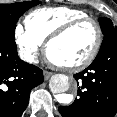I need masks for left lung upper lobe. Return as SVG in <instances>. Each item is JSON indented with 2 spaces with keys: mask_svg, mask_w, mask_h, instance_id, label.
I'll return each mask as SVG.
<instances>
[{
  "mask_svg": "<svg viewBox=\"0 0 117 117\" xmlns=\"http://www.w3.org/2000/svg\"><path fill=\"white\" fill-rule=\"evenodd\" d=\"M100 27L104 34V39L101 48H104L108 43L117 38V26H114L109 18H99Z\"/></svg>",
  "mask_w": 117,
  "mask_h": 117,
  "instance_id": "obj_1",
  "label": "left lung upper lobe"
}]
</instances>
